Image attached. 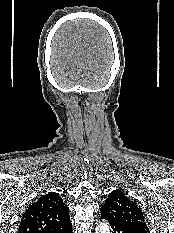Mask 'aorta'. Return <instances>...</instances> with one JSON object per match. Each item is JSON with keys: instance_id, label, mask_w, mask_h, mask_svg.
<instances>
[{"instance_id": "762f6f07", "label": "aorta", "mask_w": 174, "mask_h": 233, "mask_svg": "<svg viewBox=\"0 0 174 233\" xmlns=\"http://www.w3.org/2000/svg\"><path fill=\"white\" fill-rule=\"evenodd\" d=\"M95 233H111L109 224L107 222H102L95 228Z\"/></svg>"}]
</instances>
